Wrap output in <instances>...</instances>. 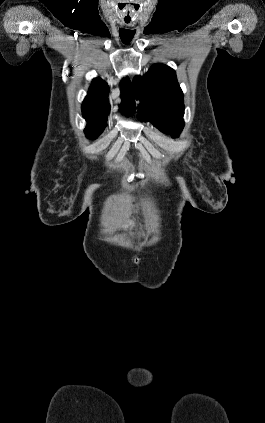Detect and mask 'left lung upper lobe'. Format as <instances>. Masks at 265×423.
<instances>
[{
    "instance_id": "5c2ea615",
    "label": "left lung upper lobe",
    "mask_w": 265,
    "mask_h": 423,
    "mask_svg": "<svg viewBox=\"0 0 265 423\" xmlns=\"http://www.w3.org/2000/svg\"><path fill=\"white\" fill-rule=\"evenodd\" d=\"M134 95L141 99L139 120L150 121L174 138L179 136L184 128V95L173 69L154 64L143 77L134 78L133 100Z\"/></svg>"
}]
</instances>
